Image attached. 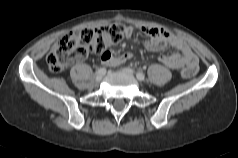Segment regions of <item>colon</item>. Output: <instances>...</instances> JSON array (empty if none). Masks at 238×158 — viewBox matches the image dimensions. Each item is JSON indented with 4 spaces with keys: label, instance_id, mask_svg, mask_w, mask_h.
<instances>
[{
    "label": "colon",
    "instance_id": "1",
    "mask_svg": "<svg viewBox=\"0 0 238 158\" xmlns=\"http://www.w3.org/2000/svg\"><path fill=\"white\" fill-rule=\"evenodd\" d=\"M130 30L121 24H112L96 29L75 30L62 35L47 56L51 72L59 73L72 61L86 57L90 52L102 54L111 44L118 43L128 36ZM197 66H185L181 75L185 79L197 73Z\"/></svg>",
    "mask_w": 238,
    "mask_h": 158
}]
</instances>
